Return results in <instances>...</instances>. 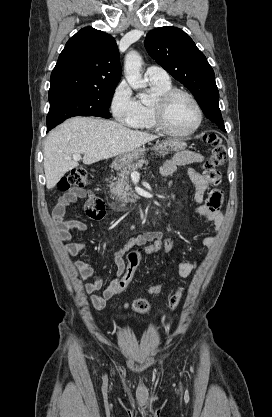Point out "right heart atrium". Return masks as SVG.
I'll list each match as a JSON object with an SVG mask.
<instances>
[{
  "label": "right heart atrium",
  "mask_w": 272,
  "mask_h": 417,
  "mask_svg": "<svg viewBox=\"0 0 272 417\" xmlns=\"http://www.w3.org/2000/svg\"><path fill=\"white\" fill-rule=\"evenodd\" d=\"M110 108L114 118L120 123L130 126L137 119L139 101L126 81H121L114 89Z\"/></svg>",
  "instance_id": "d8ad5b80"
}]
</instances>
